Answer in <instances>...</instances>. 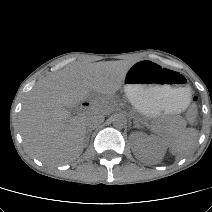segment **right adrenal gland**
Here are the masks:
<instances>
[{"label": "right adrenal gland", "mask_w": 212, "mask_h": 212, "mask_svg": "<svg viewBox=\"0 0 212 212\" xmlns=\"http://www.w3.org/2000/svg\"><path fill=\"white\" fill-rule=\"evenodd\" d=\"M92 130H93V129H87V131H86L85 142H86L87 144L89 143V140H90V136H91Z\"/></svg>", "instance_id": "right-adrenal-gland-1"}]
</instances>
